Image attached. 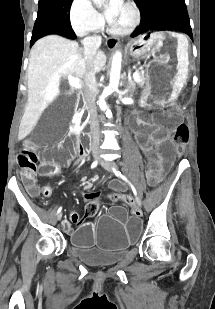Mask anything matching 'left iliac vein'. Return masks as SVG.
I'll use <instances>...</instances> for the list:
<instances>
[{
	"instance_id": "left-iliac-vein-1",
	"label": "left iliac vein",
	"mask_w": 215,
	"mask_h": 309,
	"mask_svg": "<svg viewBox=\"0 0 215 309\" xmlns=\"http://www.w3.org/2000/svg\"><path fill=\"white\" fill-rule=\"evenodd\" d=\"M100 162L102 164L103 167H108V163L102 159H100ZM136 201H137V206H136V210H139L140 206H141V201L140 199L136 196Z\"/></svg>"
}]
</instances>
